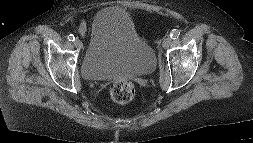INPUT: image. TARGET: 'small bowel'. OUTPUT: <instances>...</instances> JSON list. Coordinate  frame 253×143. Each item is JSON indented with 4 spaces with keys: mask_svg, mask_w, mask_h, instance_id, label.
I'll use <instances>...</instances> for the list:
<instances>
[{
    "mask_svg": "<svg viewBox=\"0 0 253 143\" xmlns=\"http://www.w3.org/2000/svg\"><path fill=\"white\" fill-rule=\"evenodd\" d=\"M79 31L81 34H84L86 31V23L84 21L80 22Z\"/></svg>",
    "mask_w": 253,
    "mask_h": 143,
    "instance_id": "obj_1",
    "label": "small bowel"
}]
</instances>
